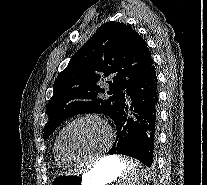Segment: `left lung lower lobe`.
<instances>
[{"label": "left lung lower lobe", "instance_id": "0a47b994", "mask_svg": "<svg viewBox=\"0 0 207 185\" xmlns=\"http://www.w3.org/2000/svg\"><path fill=\"white\" fill-rule=\"evenodd\" d=\"M114 121L117 137L107 154L136 158L150 167L158 141V92L154 66L130 87Z\"/></svg>", "mask_w": 207, "mask_h": 185}]
</instances>
